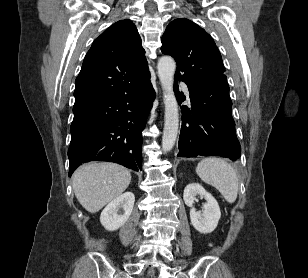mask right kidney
Listing matches in <instances>:
<instances>
[{
  "mask_svg": "<svg viewBox=\"0 0 308 278\" xmlns=\"http://www.w3.org/2000/svg\"><path fill=\"white\" fill-rule=\"evenodd\" d=\"M135 197L132 192H126L111 201L100 216V222L108 231H114L123 226L130 217Z\"/></svg>",
  "mask_w": 308,
  "mask_h": 278,
  "instance_id": "right-kidney-1",
  "label": "right kidney"
}]
</instances>
